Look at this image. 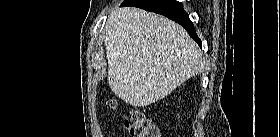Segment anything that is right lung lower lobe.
I'll list each match as a JSON object with an SVG mask.
<instances>
[{
	"label": "right lung lower lobe",
	"instance_id": "98d812e1",
	"mask_svg": "<svg viewBox=\"0 0 280 137\" xmlns=\"http://www.w3.org/2000/svg\"><path fill=\"white\" fill-rule=\"evenodd\" d=\"M121 6L139 7L164 15L184 27L188 34L201 45V40L195 32L194 25L189 19L188 14L183 9L182 3L176 0H125Z\"/></svg>",
	"mask_w": 280,
	"mask_h": 137
}]
</instances>
